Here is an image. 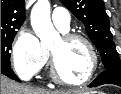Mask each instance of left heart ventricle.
I'll return each instance as SVG.
<instances>
[{"mask_svg":"<svg viewBox=\"0 0 121 94\" xmlns=\"http://www.w3.org/2000/svg\"><path fill=\"white\" fill-rule=\"evenodd\" d=\"M60 74L69 81H80L89 73L91 60L86 45L79 40L58 39L51 47Z\"/></svg>","mask_w":121,"mask_h":94,"instance_id":"b2bd125f","label":"left heart ventricle"}]
</instances>
